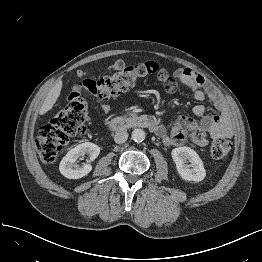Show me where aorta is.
I'll return each mask as SVG.
<instances>
[{
  "mask_svg": "<svg viewBox=\"0 0 262 262\" xmlns=\"http://www.w3.org/2000/svg\"><path fill=\"white\" fill-rule=\"evenodd\" d=\"M131 136L135 142H142L145 140L146 134L144 130L137 128L132 131Z\"/></svg>",
  "mask_w": 262,
  "mask_h": 262,
  "instance_id": "obj_1",
  "label": "aorta"
}]
</instances>
